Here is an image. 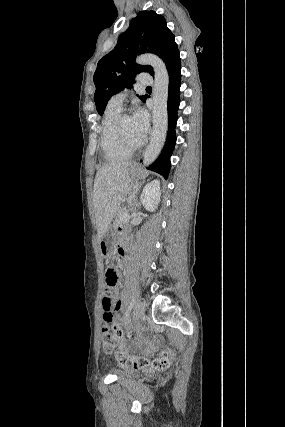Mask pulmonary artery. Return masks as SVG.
Here are the masks:
<instances>
[{"label": "pulmonary artery", "mask_w": 285, "mask_h": 427, "mask_svg": "<svg viewBox=\"0 0 285 427\" xmlns=\"http://www.w3.org/2000/svg\"><path fill=\"white\" fill-rule=\"evenodd\" d=\"M137 83H138L139 85H142V86H145V85H151V84L153 83V79H152V77H151L149 74H147V73H146V74H141V75H139V76L137 77ZM125 98H126V92L121 91V92H118V93L114 94V95L110 98L109 103H110V104H112V105H115V106H117V107L122 108L123 103H124V101H125Z\"/></svg>", "instance_id": "e3ab8cb5"}]
</instances>
